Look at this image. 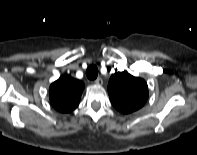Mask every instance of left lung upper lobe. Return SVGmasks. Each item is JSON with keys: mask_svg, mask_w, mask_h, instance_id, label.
<instances>
[{"mask_svg": "<svg viewBox=\"0 0 197 155\" xmlns=\"http://www.w3.org/2000/svg\"><path fill=\"white\" fill-rule=\"evenodd\" d=\"M108 93L112 105L120 112L128 114L140 109L148 99L147 83L127 71L111 76Z\"/></svg>", "mask_w": 197, "mask_h": 155, "instance_id": "left-lung-upper-lobe-1", "label": "left lung upper lobe"}]
</instances>
